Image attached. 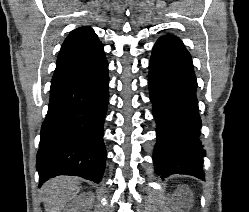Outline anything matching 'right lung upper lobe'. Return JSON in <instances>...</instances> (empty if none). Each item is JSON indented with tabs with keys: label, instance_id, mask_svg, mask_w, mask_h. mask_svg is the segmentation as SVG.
I'll return each instance as SVG.
<instances>
[{
	"label": "right lung upper lobe",
	"instance_id": "cb5924a9",
	"mask_svg": "<svg viewBox=\"0 0 249 212\" xmlns=\"http://www.w3.org/2000/svg\"><path fill=\"white\" fill-rule=\"evenodd\" d=\"M103 55V45L93 29L77 28L69 34L61 47L53 77L84 67Z\"/></svg>",
	"mask_w": 249,
	"mask_h": 212
}]
</instances>
